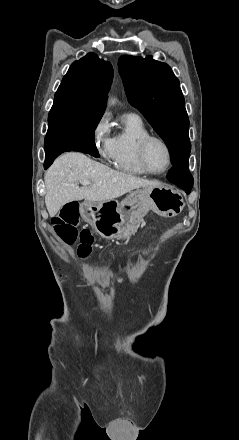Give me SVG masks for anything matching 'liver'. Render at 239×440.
<instances>
[{
  "mask_svg": "<svg viewBox=\"0 0 239 440\" xmlns=\"http://www.w3.org/2000/svg\"><path fill=\"white\" fill-rule=\"evenodd\" d=\"M45 204L50 218H54L64 204L74 200L105 202L120 198L138 188H158L160 182L143 180L131 174L111 170L84 154L68 152L55 160L45 174ZM90 180L92 186L78 188V182Z\"/></svg>",
  "mask_w": 239,
  "mask_h": 440,
  "instance_id": "liver-1",
  "label": "liver"
}]
</instances>
